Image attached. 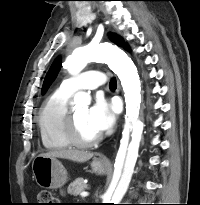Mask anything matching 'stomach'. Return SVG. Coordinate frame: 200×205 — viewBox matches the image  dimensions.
Masks as SVG:
<instances>
[{
    "label": "stomach",
    "instance_id": "0dacf381",
    "mask_svg": "<svg viewBox=\"0 0 200 205\" xmlns=\"http://www.w3.org/2000/svg\"><path fill=\"white\" fill-rule=\"evenodd\" d=\"M91 167L93 172L98 174H104L108 170V165L99 159H94ZM32 171L37 184L42 188H59L67 181V172L56 158L36 156L32 162Z\"/></svg>",
    "mask_w": 200,
    "mask_h": 205
}]
</instances>
